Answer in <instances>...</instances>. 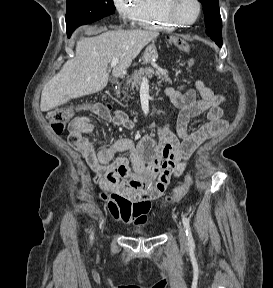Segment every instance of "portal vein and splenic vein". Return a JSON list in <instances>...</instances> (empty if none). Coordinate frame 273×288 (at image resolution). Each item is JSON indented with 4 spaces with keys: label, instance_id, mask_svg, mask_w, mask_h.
I'll list each match as a JSON object with an SVG mask.
<instances>
[{
    "label": "portal vein and splenic vein",
    "instance_id": "1",
    "mask_svg": "<svg viewBox=\"0 0 273 288\" xmlns=\"http://www.w3.org/2000/svg\"><path fill=\"white\" fill-rule=\"evenodd\" d=\"M119 59L117 57L113 58L112 61H111V64L110 66L111 67H115L118 63ZM143 84H147L148 83V80L147 78H143V81H142Z\"/></svg>",
    "mask_w": 273,
    "mask_h": 288
}]
</instances>
